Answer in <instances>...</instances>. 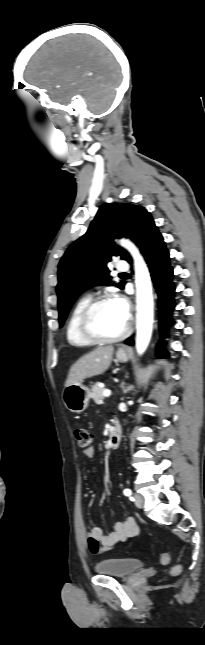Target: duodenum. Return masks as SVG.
<instances>
[{"label": "duodenum", "mask_w": 205, "mask_h": 645, "mask_svg": "<svg viewBox=\"0 0 205 645\" xmlns=\"http://www.w3.org/2000/svg\"><path fill=\"white\" fill-rule=\"evenodd\" d=\"M121 438H122L121 427L118 424H116L112 427L109 434V440H108L109 447L112 449L117 448L121 442Z\"/></svg>", "instance_id": "duodenum-1"}]
</instances>
